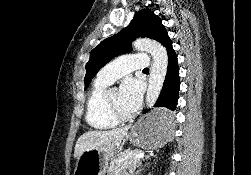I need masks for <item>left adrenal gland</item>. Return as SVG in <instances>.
Masks as SVG:
<instances>
[{
	"label": "left adrenal gland",
	"mask_w": 251,
	"mask_h": 175,
	"mask_svg": "<svg viewBox=\"0 0 251 175\" xmlns=\"http://www.w3.org/2000/svg\"><path fill=\"white\" fill-rule=\"evenodd\" d=\"M139 171H141L140 167H139V169H137V171H135V175H137V173H139Z\"/></svg>",
	"instance_id": "obj_1"
}]
</instances>
